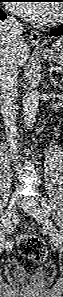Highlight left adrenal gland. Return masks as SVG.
Masks as SVG:
<instances>
[{"mask_svg":"<svg viewBox=\"0 0 63 297\" xmlns=\"http://www.w3.org/2000/svg\"><path fill=\"white\" fill-rule=\"evenodd\" d=\"M49 81H50V83L53 85V87H59V88H62L61 83H59L57 80H55V79L52 77L51 73L49 74Z\"/></svg>","mask_w":63,"mask_h":297,"instance_id":"1","label":"left adrenal gland"}]
</instances>
